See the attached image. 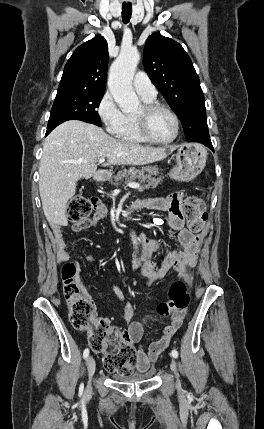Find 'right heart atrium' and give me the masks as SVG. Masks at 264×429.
<instances>
[{"mask_svg": "<svg viewBox=\"0 0 264 429\" xmlns=\"http://www.w3.org/2000/svg\"><path fill=\"white\" fill-rule=\"evenodd\" d=\"M96 113L105 130L118 136L126 124L127 116L121 111L110 92H105L98 102Z\"/></svg>", "mask_w": 264, "mask_h": 429, "instance_id": "d8ad5b80", "label": "right heart atrium"}]
</instances>
